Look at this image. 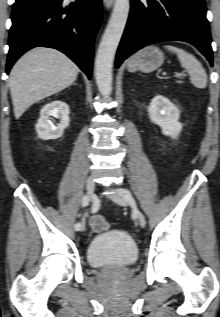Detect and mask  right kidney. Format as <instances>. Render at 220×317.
Returning a JSON list of instances; mask_svg holds the SVG:
<instances>
[{
  "label": "right kidney",
  "mask_w": 220,
  "mask_h": 317,
  "mask_svg": "<svg viewBox=\"0 0 220 317\" xmlns=\"http://www.w3.org/2000/svg\"><path fill=\"white\" fill-rule=\"evenodd\" d=\"M51 117L59 119V123L55 125ZM69 122V106L62 101H53L42 107L35 128L39 138L57 139L62 136L64 129L69 126Z\"/></svg>",
  "instance_id": "ca27d5eb"
}]
</instances>
